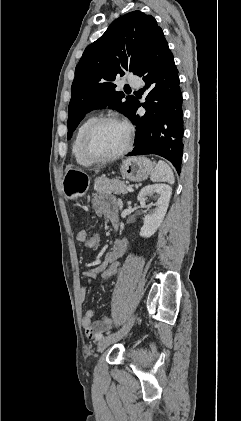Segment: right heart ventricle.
Listing matches in <instances>:
<instances>
[{"instance_id": "1", "label": "right heart ventricle", "mask_w": 241, "mask_h": 421, "mask_svg": "<svg viewBox=\"0 0 241 421\" xmlns=\"http://www.w3.org/2000/svg\"><path fill=\"white\" fill-rule=\"evenodd\" d=\"M96 118L94 116H89L86 118L77 128L73 142H72V155L75 159V161L81 165V166H90L93 164L92 161H90L82 152V138L86 131V129L89 127V125L95 120Z\"/></svg>"}]
</instances>
